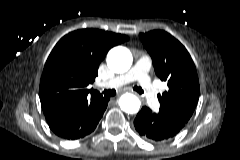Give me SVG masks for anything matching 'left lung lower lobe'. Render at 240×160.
<instances>
[{
  "label": "left lung lower lobe",
  "mask_w": 240,
  "mask_h": 160,
  "mask_svg": "<svg viewBox=\"0 0 240 160\" xmlns=\"http://www.w3.org/2000/svg\"><path fill=\"white\" fill-rule=\"evenodd\" d=\"M169 113L160 110L155 113L148 107H142L134 120L136 131L146 140L162 142L173 138L185 125Z\"/></svg>",
  "instance_id": "1"
}]
</instances>
